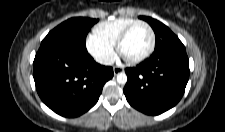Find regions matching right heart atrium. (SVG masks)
<instances>
[{
  "label": "right heart atrium",
  "mask_w": 225,
  "mask_h": 132,
  "mask_svg": "<svg viewBox=\"0 0 225 132\" xmlns=\"http://www.w3.org/2000/svg\"><path fill=\"white\" fill-rule=\"evenodd\" d=\"M86 47L90 55L100 64L110 65L115 59L114 47L94 35L87 37Z\"/></svg>",
  "instance_id": "right-heart-atrium-1"
}]
</instances>
